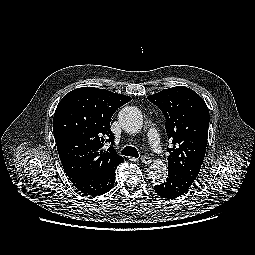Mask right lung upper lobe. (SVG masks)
<instances>
[{"instance_id": "1", "label": "right lung upper lobe", "mask_w": 255, "mask_h": 255, "mask_svg": "<svg viewBox=\"0 0 255 255\" xmlns=\"http://www.w3.org/2000/svg\"><path fill=\"white\" fill-rule=\"evenodd\" d=\"M131 98L105 89L81 87L59 102L53 132L64 171L70 180H88L113 172L124 161L113 146L110 121Z\"/></svg>"}]
</instances>
